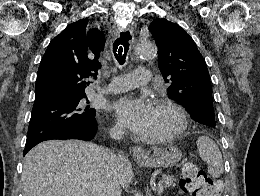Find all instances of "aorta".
<instances>
[{
    "label": "aorta",
    "instance_id": "obj_1",
    "mask_svg": "<svg viewBox=\"0 0 260 196\" xmlns=\"http://www.w3.org/2000/svg\"><path fill=\"white\" fill-rule=\"evenodd\" d=\"M136 54L145 58H153L157 54V48L152 42H140L136 46Z\"/></svg>",
    "mask_w": 260,
    "mask_h": 196
}]
</instances>
